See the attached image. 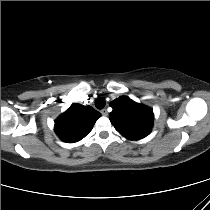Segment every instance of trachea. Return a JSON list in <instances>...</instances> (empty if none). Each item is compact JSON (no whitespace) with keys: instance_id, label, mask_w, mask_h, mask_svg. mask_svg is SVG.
<instances>
[{"instance_id":"3493384b","label":"trachea","mask_w":210,"mask_h":210,"mask_svg":"<svg viewBox=\"0 0 210 210\" xmlns=\"http://www.w3.org/2000/svg\"><path fill=\"white\" fill-rule=\"evenodd\" d=\"M106 105V102L103 98H98L96 101H95V106L98 108V109H103Z\"/></svg>"}]
</instances>
